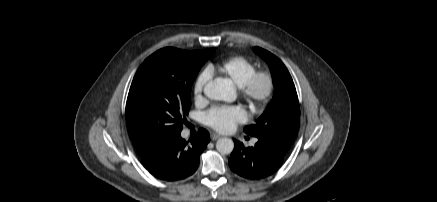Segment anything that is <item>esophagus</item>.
<instances>
[{
    "mask_svg": "<svg viewBox=\"0 0 437 202\" xmlns=\"http://www.w3.org/2000/svg\"><path fill=\"white\" fill-rule=\"evenodd\" d=\"M221 136L220 135H218V134H216V133H212L211 134V139L212 140H217V139H219Z\"/></svg>",
    "mask_w": 437,
    "mask_h": 202,
    "instance_id": "esophagus-1",
    "label": "esophagus"
}]
</instances>
